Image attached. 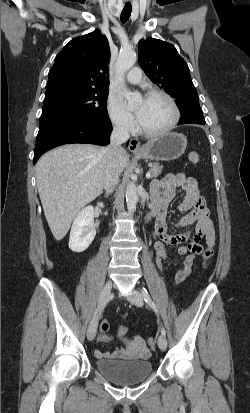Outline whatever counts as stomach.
I'll return each mask as SVG.
<instances>
[{"instance_id": "0dacf381", "label": "stomach", "mask_w": 250, "mask_h": 413, "mask_svg": "<svg viewBox=\"0 0 250 413\" xmlns=\"http://www.w3.org/2000/svg\"><path fill=\"white\" fill-rule=\"evenodd\" d=\"M186 146V136L169 132L147 142L144 150L136 155L143 159L170 161L179 158L185 152Z\"/></svg>"}]
</instances>
